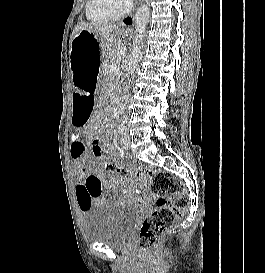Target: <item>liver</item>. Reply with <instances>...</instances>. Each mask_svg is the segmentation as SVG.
I'll list each match as a JSON object with an SVG mask.
<instances>
[{
  "label": "liver",
  "mask_w": 265,
  "mask_h": 273,
  "mask_svg": "<svg viewBox=\"0 0 265 273\" xmlns=\"http://www.w3.org/2000/svg\"><path fill=\"white\" fill-rule=\"evenodd\" d=\"M81 30H86L91 33H94L102 41L107 40L110 43H116V35L120 33L119 27L115 25H110L105 23L80 22L73 29V32L70 38V43Z\"/></svg>",
  "instance_id": "6515ba94"
}]
</instances>
